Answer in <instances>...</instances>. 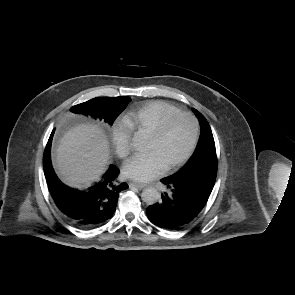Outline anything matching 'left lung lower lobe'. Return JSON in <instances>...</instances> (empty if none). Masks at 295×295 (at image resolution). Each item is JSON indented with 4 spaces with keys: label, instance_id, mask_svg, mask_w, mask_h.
Here are the masks:
<instances>
[{
    "label": "left lung lower lobe",
    "instance_id": "left-lung-lower-lobe-1",
    "mask_svg": "<svg viewBox=\"0 0 295 295\" xmlns=\"http://www.w3.org/2000/svg\"><path fill=\"white\" fill-rule=\"evenodd\" d=\"M217 167L206 165L181 175L163 178L162 201L147 208L149 220L164 229H178L192 221L206 205L213 189Z\"/></svg>",
    "mask_w": 295,
    "mask_h": 295
}]
</instances>
